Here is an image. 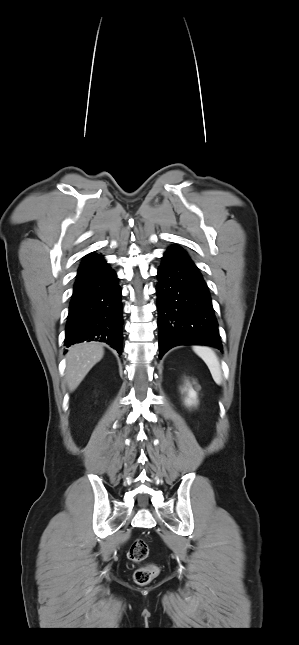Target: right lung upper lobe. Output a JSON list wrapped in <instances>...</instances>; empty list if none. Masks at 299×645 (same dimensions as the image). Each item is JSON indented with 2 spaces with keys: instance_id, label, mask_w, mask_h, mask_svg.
Returning <instances> with one entry per match:
<instances>
[{
  "instance_id": "cb5924a9",
  "label": "right lung upper lobe",
  "mask_w": 299,
  "mask_h": 645,
  "mask_svg": "<svg viewBox=\"0 0 299 645\" xmlns=\"http://www.w3.org/2000/svg\"><path fill=\"white\" fill-rule=\"evenodd\" d=\"M99 257L100 256L98 254H96V253H90V254H88V255H86L84 257V259L81 262V265L87 264V263H89V262H91V261H93V260H95V259H97Z\"/></svg>"
}]
</instances>
